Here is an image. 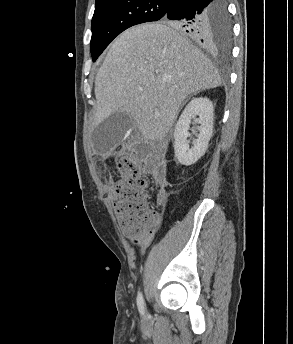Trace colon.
<instances>
[{
	"label": "colon",
	"instance_id": "obj_1",
	"mask_svg": "<svg viewBox=\"0 0 293 344\" xmlns=\"http://www.w3.org/2000/svg\"><path fill=\"white\" fill-rule=\"evenodd\" d=\"M121 181L113 186V208L125 235L133 238L153 236L160 213L146 200L147 179L140 166L128 154L111 157Z\"/></svg>",
	"mask_w": 293,
	"mask_h": 344
}]
</instances>
